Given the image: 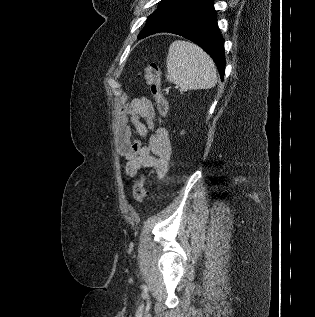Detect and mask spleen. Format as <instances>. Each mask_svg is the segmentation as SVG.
Masks as SVG:
<instances>
[{
	"instance_id": "3e777b00",
	"label": "spleen",
	"mask_w": 315,
	"mask_h": 317,
	"mask_svg": "<svg viewBox=\"0 0 315 317\" xmlns=\"http://www.w3.org/2000/svg\"><path fill=\"white\" fill-rule=\"evenodd\" d=\"M166 64L167 80L181 91L208 89L217 83L213 60L194 43L174 41L169 47Z\"/></svg>"
}]
</instances>
